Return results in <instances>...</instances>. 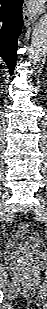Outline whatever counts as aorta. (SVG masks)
<instances>
[{
    "instance_id": "1",
    "label": "aorta",
    "mask_w": 47,
    "mask_h": 309,
    "mask_svg": "<svg viewBox=\"0 0 47 309\" xmlns=\"http://www.w3.org/2000/svg\"><path fill=\"white\" fill-rule=\"evenodd\" d=\"M47 53V20L41 19L35 26L29 47V58L38 63Z\"/></svg>"
}]
</instances>
